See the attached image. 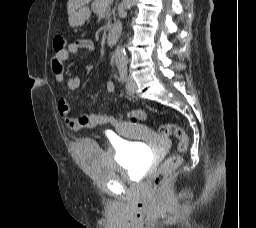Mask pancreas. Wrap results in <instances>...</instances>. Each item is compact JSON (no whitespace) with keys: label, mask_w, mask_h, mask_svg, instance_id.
Listing matches in <instances>:
<instances>
[{"label":"pancreas","mask_w":256,"mask_h":228,"mask_svg":"<svg viewBox=\"0 0 256 228\" xmlns=\"http://www.w3.org/2000/svg\"><path fill=\"white\" fill-rule=\"evenodd\" d=\"M110 4L105 3L103 0H94L91 8L93 10L94 13L99 14L100 11L105 10L106 12V19L109 20L110 19ZM115 17V16H114ZM111 27L110 23L108 22V24L106 25V29H109Z\"/></svg>","instance_id":"pancreas-1"}]
</instances>
